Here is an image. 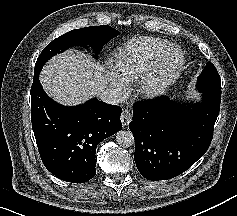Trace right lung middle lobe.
Instances as JSON below:
<instances>
[{"label": "right lung middle lobe", "mask_w": 237, "mask_h": 216, "mask_svg": "<svg viewBox=\"0 0 237 216\" xmlns=\"http://www.w3.org/2000/svg\"><path fill=\"white\" fill-rule=\"evenodd\" d=\"M118 34L119 31L108 25L91 26L69 31L54 39L42 51L36 61L34 74L38 75L45 62H47L52 56L65 51L71 46H83L85 48L91 47L95 52V55L93 56L97 59L103 45Z\"/></svg>", "instance_id": "1"}]
</instances>
